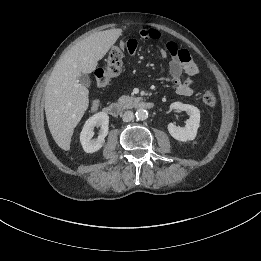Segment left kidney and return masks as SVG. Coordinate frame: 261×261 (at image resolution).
<instances>
[{"label": "left kidney", "instance_id": "left-kidney-1", "mask_svg": "<svg viewBox=\"0 0 261 261\" xmlns=\"http://www.w3.org/2000/svg\"><path fill=\"white\" fill-rule=\"evenodd\" d=\"M170 108L185 111L189 115V119L186 121L185 127L176 126L173 123L168 124V131L170 135L174 139L182 142L194 140L200 123L199 109L193 105L183 104L180 102L172 103Z\"/></svg>", "mask_w": 261, "mask_h": 261}]
</instances>
